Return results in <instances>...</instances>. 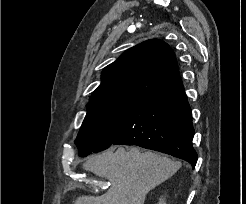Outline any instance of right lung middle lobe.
Wrapping results in <instances>:
<instances>
[{"label": "right lung middle lobe", "instance_id": "1", "mask_svg": "<svg viewBox=\"0 0 246 204\" xmlns=\"http://www.w3.org/2000/svg\"><path fill=\"white\" fill-rule=\"evenodd\" d=\"M135 99L90 101L75 141L78 155L85 157L110 147Z\"/></svg>", "mask_w": 246, "mask_h": 204}]
</instances>
